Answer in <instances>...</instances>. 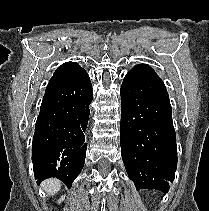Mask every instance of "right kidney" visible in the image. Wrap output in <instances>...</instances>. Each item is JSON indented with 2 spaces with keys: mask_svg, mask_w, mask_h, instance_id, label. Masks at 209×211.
<instances>
[{
  "mask_svg": "<svg viewBox=\"0 0 209 211\" xmlns=\"http://www.w3.org/2000/svg\"><path fill=\"white\" fill-rule=\"evenodd\" d=\"M62 200H64V197L63 196L60 198V200L58 202L60 203Z\"/></svg>",
  "mask_w": 209,
  "mask_h": 211,
  "instance_id": "1",
  "label": "right kidney"
}]
</instances>
